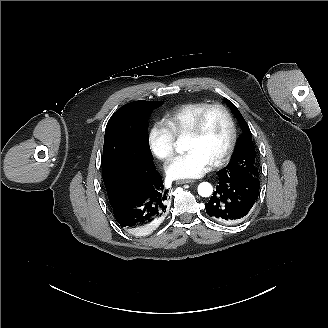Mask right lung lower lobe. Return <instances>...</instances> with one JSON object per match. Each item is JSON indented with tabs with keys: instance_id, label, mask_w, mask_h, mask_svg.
Wrapping results in <instances>:
<instances>
[{
	"instance_id": "obj_1",
	"label": "right lung lower lobe",
	"mask_w": 328,
	"mask_h": 328,
	"mask_svg": "<svg viewBox=\"0 0 328 328\" xmlns=\"http://www.w3.org/2000/svg\"><path fill=\"white\" fill-rule=\"evenodd\" d=\"M167 200L162 177L155 169L147 181L127 186L111 207L122 228L136 235H146L163 219Z\"/></svg>"
}]
</instances>
